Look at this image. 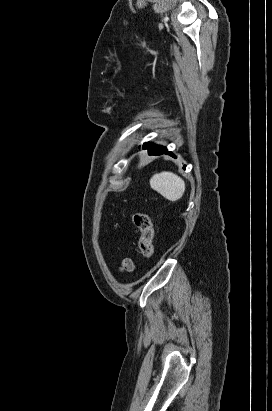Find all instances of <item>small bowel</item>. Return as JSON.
<instances>
[{
    "instance_id": "small-bowel-1",
    "label": "small bowel",
    "mask_w": 272,
    "mask_h": 411,
    "mask_svg": "<svg viewBox=\"0 0 272 411\" xmlns=\"http://www.w3.org/2000/svg\"><path fill=\"white\" fill-rule=\"evenodd\" d=\"M134 269V263L130 258H125L122 261V270L124 271H132Z\"/></svg>"
}]
</instances>
